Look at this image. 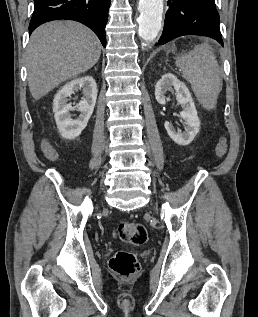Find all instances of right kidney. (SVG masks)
I'll return each instance as SVG.
<instances>
[{
  "label": "right kidney",
  "mask_w": 258,
  "mask_h": 317,
  "mask_svg": "<svg viewBox=\"0 0 258 317\" xmlns=\"http://www.w3.org/2000/svg\"><path fill=\"white\" fill-rule=\"evenodd\" d=\"M80 88H82L85 98L79 100L76 108V106L67 102V96H71ZM96 98L97 84L93 76H88V74L87 76H81V78H73L58 90L53 100V112L61 136L76 138L81 134L94 110ZM70 110H79V116L72 118Z\"/></svg>",
  "instance_id": "obj_1"
}]
</instances>
